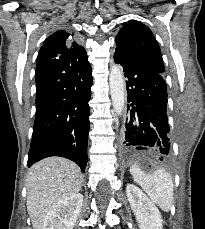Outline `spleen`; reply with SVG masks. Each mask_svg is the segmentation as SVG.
<instances>
[{
    "label": "spleen",
    "instance_id": "obj_1",
    "mask_svg": "<svg viewBox=\"0 0 205 229\" xmlns=\"http://www.w3.org/2000/svg\"><path fill=\"white\" fill-rule=\"evenodd\" d=\"M130 173L134 181L147 193L150 199L168 212L173 204V181L164 169L157 170L152 174H146L138 165L130 167Z\"/></svg>",
    "mask_w": 205,
    "mask_h": 229
}]
</instances>
